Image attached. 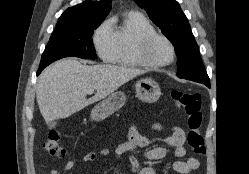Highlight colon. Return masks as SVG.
Segmentation results:
<instances>
[{"label":"colon","instance_id":"1","mask_svg":"<svg viewBox=\"0 0 249 174\" xmlns=\"http://www.w3.org/2000/svg\"><path fill=\"white\" fill-rule=\"evenodd\" d=\"M174 102L185 111L187 116V144L199 155L206 154L204 136L201 132L203 115L201 111L200 95L194 92H185L174 89L171 92ZM61 133L52 131L44 142L45 150L52 156L65 155L64 148L60 145Z\"/></svg>","mask_w":249,"mask_h":174}]
</instances>
